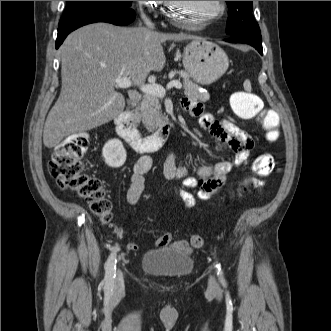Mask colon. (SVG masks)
<instances>
[{"label": "colon", "mask_w": 331, "mask_h": 331, "mask_svg": "<svg viewBox=\"0 0 331 331\" xmlns=\"http://www.w3.org/2000/svg\"><path fill=\"white\" fill-rule=\"evenodd\" d=\"M234 114L242 120H257L270 141L278 138L279 116L273 110H264L262 100L249 91L234 93L230 99ZM89 147L85 133H76L65 138L55 149L49 162V173L63 190H69L84 199L92 212L105 223L111 220V202L107 199L102 182L85 173L82 157ZM274 169V159L269 153L258 155L252 163V173L257 177L269 175ZM248 186L242 185L239 196ZM193 246L199 248L203 239L199 235L191 238Z\"/></svg>", "instance_id": "colon-1"}]
</instances>
